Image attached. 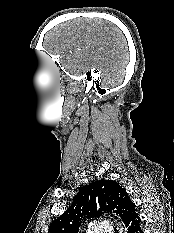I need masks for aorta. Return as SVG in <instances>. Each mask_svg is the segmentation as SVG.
I'll return each mask as SVG.
<instances>
[{
    "label": "aorta",
    "mask_w": 174,
    "mask_h": 233,
    "mask_svg": "<svg viewBox=\"0 0 174 233\" xmlns=\"http://www.w3.org/2000/svg\"><path fill=\"white\" fill-rule=\"evenodd\" d=\"M117 226H118L117 229L119 230V232L122 233L124 231V228L121 225V223H118Z\"/></svg>",
    "instance_id": "obj_1"
}]
</instances>
